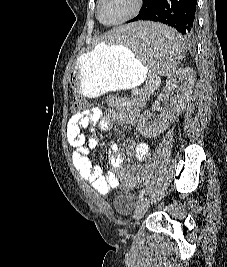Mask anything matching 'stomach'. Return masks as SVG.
I'll list each match as a JSON object with an SVG mask.
<instances>
[{"instance_id":"0dacf381","label":"stomach","mask_w":227,"mask_h":267,"mask_svg":"<svg viewBox=\"0 0 227 267\" xmlns=\"http://www.w3.org/2000/svg\"><path fill=\"white\" fill-rule=\"evenodd\" d=\"M124 50L122 43H111V47L97 45L91 52L82 54L70 73L67 87L86 97H97L108 91L137 86L147 66L152 69V63H142L132 50L131 55H124Z\"/></svg>"}]
</instances>
